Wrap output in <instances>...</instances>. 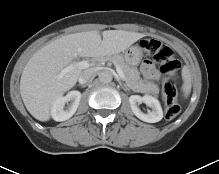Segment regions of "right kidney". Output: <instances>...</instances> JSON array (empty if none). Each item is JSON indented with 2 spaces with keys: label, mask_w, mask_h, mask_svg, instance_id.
I'll return each mask as SVG.
<instances>
[{
  "label": "right kidney",
  "mask_w": 219,
  "mask_h": 174,
  "mask_svg": "<svg viewBox=\"0 0 219 174\" xmlns=\"http://www.w3.org/2000/svg\"><path fill=\"white\" fill-rule=\"evenodd\" d=\"M80 100L81 93L79 91H70L66 96H60L52 105V118L59 122L68 120L76 112Z\"/></svg>",
  "instance_id": "ca27d5eb"
}]
</instances>
